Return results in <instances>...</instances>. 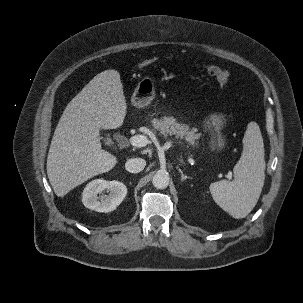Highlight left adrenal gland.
Listing matches in <instances>:
<instances>
[{"label": "left adrenal gland", "instance_id": "1", "mask_svg": "<svg viewBox=\"0 0 303 303\" xmlns=\"http://www.w3.org/2000/svg\"><path fill=\"white\" fill-rule=\"evenodd\" d=\"M180 161H181V163H184L183 159H181ZM178 170L181 173V181H184L186 179H190V176L185 175L180 168Z\"/></svg>", "mask_w": 303, "mask_h": 303}]
</instances>
